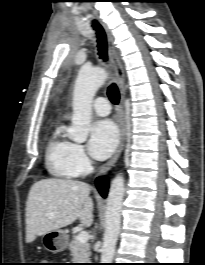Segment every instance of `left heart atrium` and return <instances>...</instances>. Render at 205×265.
<instances>
[{
    "label": "left heart atrium",
    "mask_w": 205,
    "mask_h": 265,
    "mask_svg": "<svg viewBox=\"0 0 205 265\" xmlns=\"http://www.w3.org/2000/svg\"><path fill=\"white\" fill-rule=\"evenodd\" d=\"M118 139V129L111 120L97 121L91 129L90 154L98 160L107 158L116 148Z\"/></svg>",
    "instance_id": "left-heart-atrium-1"
}]
</instances>
